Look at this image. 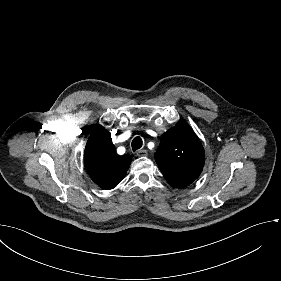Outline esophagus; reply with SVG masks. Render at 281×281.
Wrapping results in <instances>:
<instances>
[{
    "label": "esophagus",
    "instance_id": "34e87169",
    "mask_svg": "<svg viewBox=\"0 0 281 281\" xmlns=\"http://www.w3.org/2000/svg\"><path fill=\"white\" fill-rule=\"evenodd\" d=\"M136 154L138 157H146L148 152L146 150H139Z\"/></svg>",
    "mask_w": 281,
    "mask_h": 281
}]
</instances>
